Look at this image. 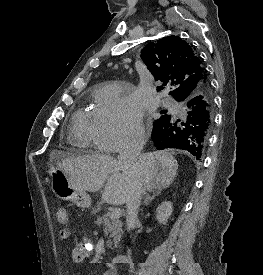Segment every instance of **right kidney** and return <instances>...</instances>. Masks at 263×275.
I'll return each instance as SVG.
<instances>
[{
	"instance_id": "right-kidney-1",
	"label": "right kidney",
	"mask_w": 263,
	"mask_h": 275,
	"mask_svg": "<svg viewBox=\"0 0 263 275\" xmlns=\"http://www.w3.org/2000/svg\"><path fill=\"white\" fill-rule=\"evenodd\" d=\"M173 211L172 203L165 201L162 202L156 210V218L159 223L166 224L168 218L171 216Z\"/></svg>"
}]
</instances>
